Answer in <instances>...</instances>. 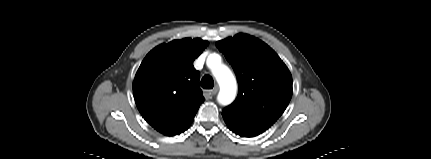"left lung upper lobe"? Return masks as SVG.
Wrapping results in <instances>:
<instances>
[{
	"instance_id": "obj_1",
	"label": "left lung upper lobe",
	"mask_w": 431,
	"mask_h": 159,
	"mask_svg": "<svg viewBox=\"0 0 431 159\" xmlns=\"http://www.w3.org/2000/svg\"><path fill=\"white\" fill-rule=\"evenodd\" d=\"M237 76L234 103L222 112L225 121L241 128L267 130L285 111L292 97V76L267 44L247 34L216 42Z\"/></svg>"
}]
</instances>
